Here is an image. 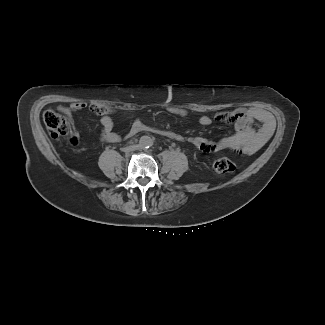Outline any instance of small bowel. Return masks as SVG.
Returning <instances> with one entry per match:
<instances>
[{
	"mask_svg": "<svg viewBox=\"0 0 325 325\" xmlns=\"http://www.w3.org/2000/svg\"><path fill=\"white\" fill-rule=\"evenodd\" d=\"M87 108L84 102H75L67 107H61L69 117H72L75 112L82 111ZM91 110L100 117L102 133L99 141L101 143H118L122 141L121 135L114 131V122L111 118L112 109L108 106L93 105ZM168 112L178 117H186L188 111L180 107H169ZM214 120L224 123H233L235 132L232 135L225 136L218 140H211L201 136L188 137L182 134L170 132L168 137L183 143H189L203 152H221L233 151L239 154H251L261 147L271 137L274 130V119L272 115L260 108H238L231 111L220 113L214 117ZM213 122V118L208 115H202L198 119L200 126H209ZM254 122H259L261 127L255 129ZM146 130V127L139 120H135L125 138H133L137 134ZM79 139L76 135L72 137V144H78Z\"/></svg>",
	"mask_w": 325,
	"mask_h": 325,
	"instance_id": "small-bowel-1",
	"label": "small bowel"
}]
</instances>
